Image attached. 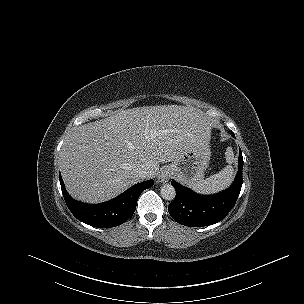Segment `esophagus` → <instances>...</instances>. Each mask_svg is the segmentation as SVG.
<instances>
[{"label": "esophagus", "mask_w": 304, "mask_h": 304, "mask_svg": "<svg viewBox=\"0 0 304 304\" xmlns=\"http://www.w3.org/2000/svg\"><path fill=\"white\" fill-rule=\"evenodd\" d=\"M171 174L168 170H162L158 175V181L161 183H166L169 181Z\"/></svg>", "instance_id": "34e87169"}]
</instances>
